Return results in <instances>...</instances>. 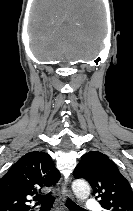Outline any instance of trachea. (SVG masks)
<instances>
[{
	"label": "trachea",
	"mask_w": 133,
	"mask_h": 211,
	"mask_svg": "<svg viewBox=\"0 0 133 211\" xmlns=\"http://www.w3.org/2000/svg\"><path fill=\"white\" fill-rule=\"evenodd\" d=\"M35 200H38L41 203V209H51L54 203V197L51 194L47 195H37L34 197ZM67 206L70 211H85L83 208L75 204L71 199H67Z\"/></svg>",
	"instance_id": "1"
}]
</instances>
